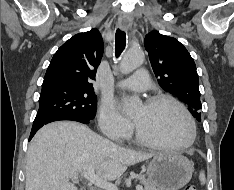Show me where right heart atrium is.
<instances>
[{
  "label": "right heart atrium",
  "instance_id": "1",
  "mask_svg": "<svg viewBox=\"0 0 234 190\" xmlns=\"http://www.w3.org/2000/svg\"><path fill=\"white\" fill-rule=\"evenodd\" d=\"M98 124L101 132L114 141H122L132 131L131 121L122 116L110 100L102 101Z\"/></svg>",
  "mask_w": 234,
  "mask_h": 190
}]
</instances>
